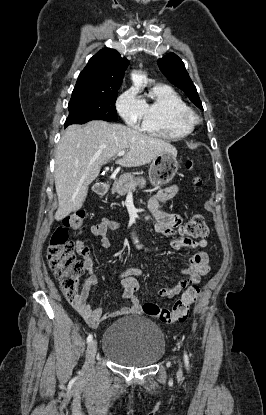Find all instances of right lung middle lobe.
I'll list each match as a JSON object with an SVG mask.
<instances>
[{
	"instance_id": "right-lung-middle-lobe-1",
	"label": "right lung middle lobe",
	"mask_w": 266,
	"mask_h": 415,
	"mask_svg": "<svg viewBox=\"0 0 266 415\" xmlns=\"http://www.w3.org/2000/svg\"><path fill=\"white\" fill-rule=\"evenodd\" d=\"M118 91L112 93H72L69 116L64 126L84 124L91 120H117L115 108Z\"/></svg>"
}]
</instances>
